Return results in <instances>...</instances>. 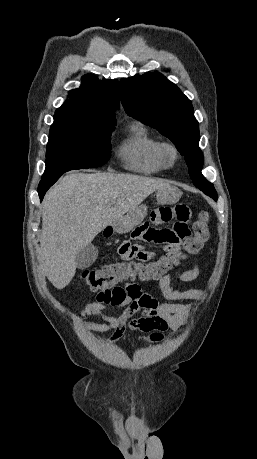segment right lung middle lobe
Listing matches in <instances>:
<instances>
[{"instance_id":"obj_1","label":"right lung middle lobe","mask_w":257,"mask_h":459,"mask_svg":"<svg viewBox=\"0 0 257 459\" xmlns=\"http://www.w3.org/2000/svg\"><path fill=\"white\" fill-rule=\"evenodd\" d=\"M114 126L101 127L54 118L46 152L44 175L104 165L110 158Z\"/></svg>"}]
</instances>
